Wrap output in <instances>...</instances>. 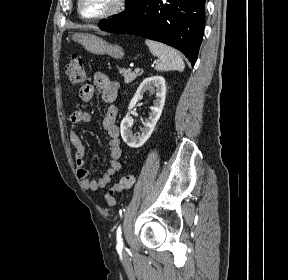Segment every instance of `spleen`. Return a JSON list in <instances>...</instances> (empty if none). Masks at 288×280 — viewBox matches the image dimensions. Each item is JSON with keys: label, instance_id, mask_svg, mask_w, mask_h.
<instances>
[{"label": "spleen", "instance_id": "1", "mask_svg": "<svg viewBox=\"0 0 288 280\" xmlns=\"http://www.w3.org/2000/svg\"><path fill=\"white\" fill-rule=\"evenodd\" d=\"M145 43L149 47L150 52L160 59V62L155 66L157 71L184 70L185 64L183 59L175 49L149 39Z\"/></svg>", "mask_w": 288, "mask_h": 280}]
</instances>
